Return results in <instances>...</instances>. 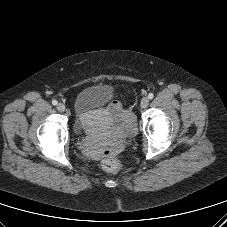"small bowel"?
I'll return each mask as SVG.
<instances>
[{
    "mask_svg": "<svg viewBox=\"0 0 227 227\" xmlns=\"http://www.w3.org/2000/svg\"><path fill=\"white\" fill-rule=\"evenodd\" d=\"M107 114L108 116L115 122V123H122V122H131L132 115L129 110L123 108L122 104L119 101H112L107 107ZM86 151L91 156L100 159L106 152H103L96 142H90L86 146Z\"/></svg>",
    "mask_w": 227,
    "mask_h": 227,
    "instance_id": "small-bowel-1",
    "label": "small bowel"
}]
</instances>
